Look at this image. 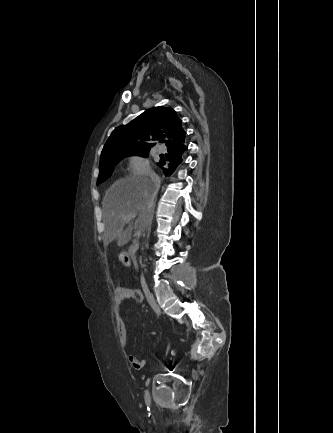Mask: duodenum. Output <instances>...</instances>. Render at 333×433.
<instances>
[{
  "instance_id": "obj_1",
  "label": "duodenum",
  "mask_w": 333,
  "mask_h": 433,
  "mask_svg": "<svg viewBox=\"0 0 333 433\" xmlns=\"http://www.w3.org/2000/svg\"><path fill=\"white\" fill-rule=\"evenodd\" d=\"M136 245L135 244H130L129 246V257L132 258V263H135L133 266L136 268L138 265L136 264L138 262L137 258H133L134 257V251H135Z\"/></svg>"
}]
</instances>
